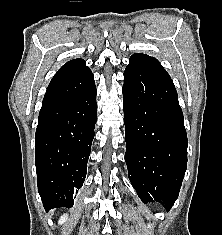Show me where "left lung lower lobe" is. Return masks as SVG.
Here are the masks:
<instances>
[{"mask_svg":"<svg viewBox=\"0 0 222 235\" xmlns=\"http://www.w3.org/2000/svg\"><path fill=\"white\" fill-rule=\"evenodd\" d=\"M122 91L129 179L142 202H158L169 211L187 167L188 140L175 86L160 63L131 57Z\"/></svg>","mask_w":222,"mask_h":235,"instance_id":"left-lung-lower-lobe-1","label":"left lung lower lobe"}]
</instances>
